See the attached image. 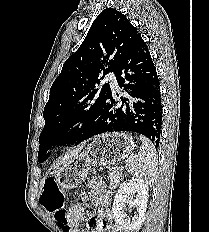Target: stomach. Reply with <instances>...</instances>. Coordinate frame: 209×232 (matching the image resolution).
<instances>
[{
    "instance_id": "1",
    "label": "stomach",
    "mask_w": 209,
    "mask_h": 232,
    "mask_svg": "<svg viewBox=\"0 0 209 232\" xmlns=\"http://www.w3.org/2000/svg\"><path fill=\"white\" fill-rule=\"evenodd\" d=\"M134 148L132 137L126 133L97 136L84 151L77 153L58 169L56 181L62 188H74L85 180L91 167L114 164L130 155Z\"/></svg>"
}]
</instances>
